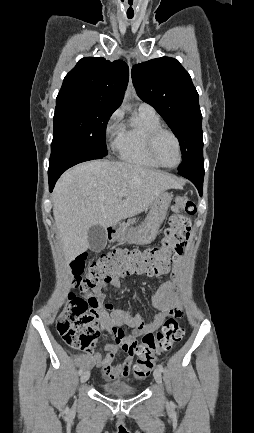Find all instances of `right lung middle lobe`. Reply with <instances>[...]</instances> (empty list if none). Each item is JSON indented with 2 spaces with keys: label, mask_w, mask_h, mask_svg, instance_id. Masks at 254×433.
I'll return each mask as SVG.
<instances>
[{
  "label": "right lung middle lobe",
  "mask_w": 254,
  "mask_h": 433,
  "mask_svg": "<svg viewBox=\"0 0 254 433\" xmlns=\"http://www.w3.org/2000/svg\"><path fill=\"white\" fill-rule=\"evenodd\" d=\"M113 112L96 104L69 103L56 106L51 151L71 144L91 154L106 156V125Z\"/></svg>",
  "instance_id": "obj_1"
}]
</instances>
